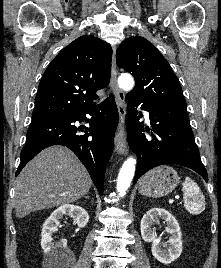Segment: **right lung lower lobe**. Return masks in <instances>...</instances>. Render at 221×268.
Returning <instances> with one entry per match:
<instances>
[{
    "label": "right lung lower lobe",
    "instance_id": "1",
    "mask_svg": "<svg viewBox=\"0 0 221 268\" xmlns=\"http://www.w3.org/2000/svg\"><path fill=\"white\" fill-rule=\"evenodd\" d=\"M86 114L92 116L89 127L75 126L76 121L87 122ZM117 124L118 110L112 95L99 105L70 115L32 119L16 176L44 148L63 145L78 156L102 195L105 168L112 154Z\"/></svg>",
    "mask_w": 221,
    "mask_h": 268
}]
</instances>
